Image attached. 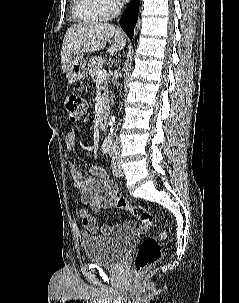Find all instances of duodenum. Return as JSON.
Here are the masks:
<instances>
[{
	"mask_svg": "<svg viewBox=\"0 0 239 303\" xmlns=\"http://www.w3.org/2000/svg\"><path fill=\"white\" fill-rule=\"evenodd\" d=\"M98 125L100 129L106 130L108 127V112L102 111L98 117Z\"/></svg>",
	"mask_w": 239,
	"mask_h": 303,
	"instance_id": "obj_1",
	"label": "duodenum"
}]
</instances>
